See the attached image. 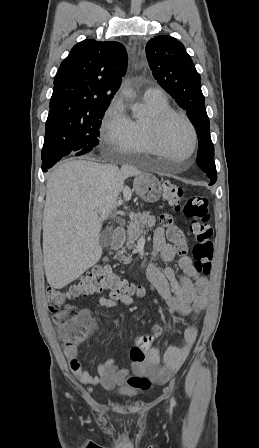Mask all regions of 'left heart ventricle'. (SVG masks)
I'll return each instance as SVG.
<instances>
[{"mask_svg":"<svg viewBox=\"0 0 259 448\" xmlns=\"http://www.w3.org/2000/svg\"><path fill=\"white\" fill-rule=\"evenodd\" d=\"M163 143L165 149L150 150L148 153L167 162H187L190 160L192 143L188 126L180 119L171 120L164 128Z\"/></svg>","mask_w":259,"mask_h":448,"instance_id":"left-heart-ventricle-1","label":"left heart ventricle"}]
</instances>
